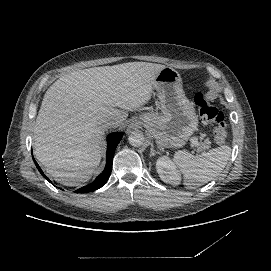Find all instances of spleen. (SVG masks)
Listing matches in <instances>:
<instances>
[{"mask_svg":"<svg viewBox=\"0 0 271 271\" xmlns=\"http://www.w3.org/2000/svg\"><path fill=\"white\" fill-rule=\"evenodd\" d=\"M230 155L231 148L224 145L197 156L186 150H179L173 160L184 174L185 185L192 189L194 186L206 184L221 173Z\"/></svg>","mask_w":271,"mask_h":271,"instance_id":"obj_1","label":"spleen"}]
</instances>
